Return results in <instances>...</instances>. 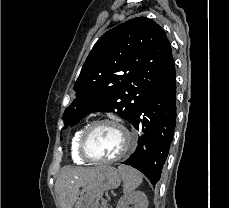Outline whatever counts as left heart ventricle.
<instances>
[{"instance_id":"left-heart-ventricle-1","label":"left heart ventricle","mask_w":229,"mask_h":208,"mask_svg":"<svg viewBox=\"0 0 229 208\" xmlns=\"http://www.w3.org/2000/svg\"><path fill=\"white\" fill-rule=\"evenodd\" d=\"M128 142L125 132L114 125H103L96 128L87 139L86 151L92 160H111L124 150Z\"/></svg>"}]
</instances>
